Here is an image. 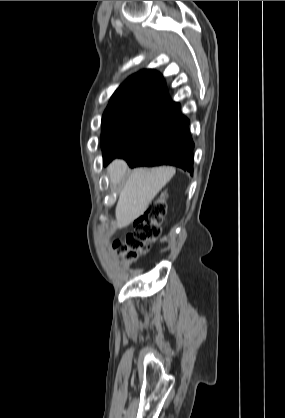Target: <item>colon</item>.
<instances>
[{"mask_svg":"<svg viewBox=\"0 0 285 418\" xmlns=\"http://www.w3.org/2000/svg\"><path fill=\"white\" fill-rule=\"evenodd\" d=\"M166 212L167 206L163 200L154 201L148 210L135 220L133 230L123 239L114 241L115 247L125 254L128 260L147 254L152 242L160 236L158 224Z\"/></svg>","mask_w":285,"mask_h":418,"instance_id":"5ec220e1","label":"colon"}]
</instances>
